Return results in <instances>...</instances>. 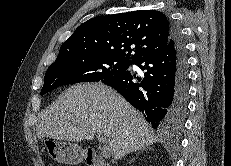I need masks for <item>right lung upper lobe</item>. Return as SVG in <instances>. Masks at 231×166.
<instances>
[{
  "label": "right lung upper lobe",
  "mask_w": 231,
  "mask_h": 166,
  "mask_svg": "<svg viewBox=\"0 0 231 166\" xmlns=\"http://www.w3.org/2000/svg\"><path fill=\"white\" fill-rule=\"evenodd\" d=\"M171 29V22L156 10L98 16L75 30L57 58L99 53L133 62L162 50L171 40Z\"/></svg>",
  "instance_id": "1"
}]
</instances>
